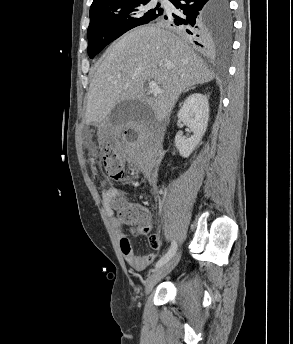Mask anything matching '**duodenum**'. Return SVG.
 Listing matches in <instances>:
<instances>
[{
	"label": "duodenum",
	"mask_w": 293,
	"mask_h": 344,
	"mask_svg": "<svg viewBox=\"0 0 293 344\" xmlns=\"http://www.w3.org/2000/svg\"><path fill=\"white\" fill-rule=\"evenodd\" d=\"M155 149H156V153H159V147L157 146V144H156V147H155Z\"/></svg>",
	"instance_id": "obj_1"
}]
</instances>
